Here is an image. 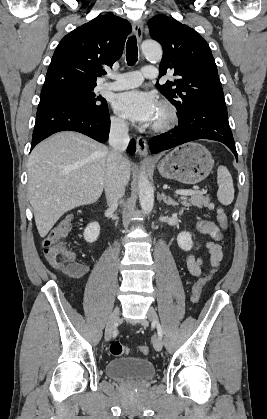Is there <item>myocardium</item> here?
Wrapping results in <instances>:
<instances>
[{"mask_svg":"<svg viewBox=\"0 0 267 419\" xmlns=\"http://www.w3.org/2000/svg\"><path fill=\"white\" fill-rule=\"evenodd\" d=\"M159 107L164 111L165 118L151 125V130L155 133H165L172 130L178 124V112L176 107L167 100H162Z\"/></svg>","mask_w":267,"mask_h":419,"instance_id":"obj_1","label":"myocardium"}]
</instances>
